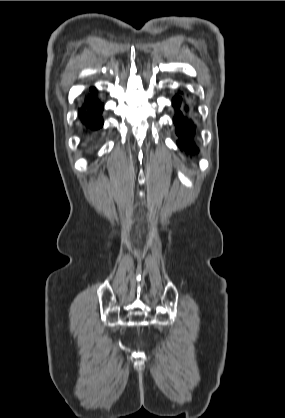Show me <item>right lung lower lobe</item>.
I'll return each mask as SVG.
<instances>
[{
  "label": "right lung lower lobe",
  "instance_id": "1",
  "mask_svg": "<svg viewBox=\"0 0 285 418\" xmlns=\"http://www.w3.org/2000/svg\"><path fill=\"white\" fill-rule=\"evenodd\" d=\"M104 104L97 97L94 87L90 88V93L85 94L80 107L78 108L79 121L83 127V133L91 136L103 126L102 110Z\"/></svg>",
  "mask_w": 285,
  "mask_h": 418
}]
</instances>
